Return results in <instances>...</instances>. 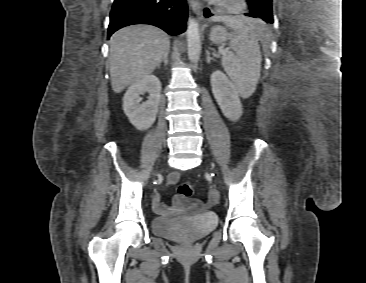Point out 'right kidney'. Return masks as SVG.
I'll return each mask as SVG.
<instances>
[{"mask_svg": "<svg viewBox=\"0 0 366 283\" xmlns=\"http://www.w3.org/2000/svg\"><path fill=\"white\" fill-rule=\"evenodd\" d=\"M149 94L140 103V95ZM161 99V83L155 75H146L130 85L123 97V110L131 124L138 130H147L155 122Z\"/></svg>", "mask_w": 366, "mask_h": 283, "instance_id": "right-kidney-1", "label": "right kidney"}]
</instances>
